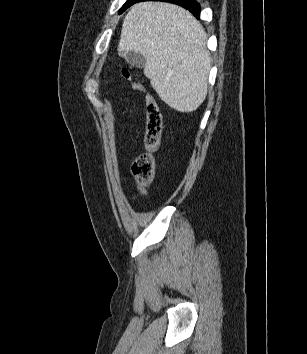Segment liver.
<instances>
[{"mask_svg":"<svg viewBox=\"0 0 307 354\" xmlns=\"http://www.w3.org/2000/svg\"><path fill=\"white\" fill-rule=\"evenodd\" d=\"M206 33L184 8L141 2L123 20L118 54L144 56V75L158 96L178 112H193L205 100L211 57Z\"/></svg>","mask_w":307,"mask_h":354,"instance_id":"obj_1","label":"liver"}]
</instances>
